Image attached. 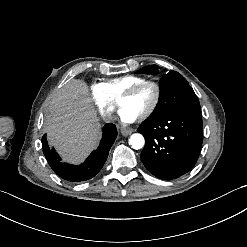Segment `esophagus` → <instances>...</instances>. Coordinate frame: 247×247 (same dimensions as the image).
I'll return each instance as SVG.
<instances>
[{"mask_svg": "<svg viewBox=\"0 0 247 247\" xmlns=\"http://www.w3.org/2000/svg\"><path fill=\"white\" fill-rule=\"evenodd\" d=\"M133 129L129 127H121L120 132L123 136H129L133 133Z\"/></svg>", "mask_w": 247, "mask_h": 247, "instance_id": "obj_1", "label": "esophagus"}]
</instances>
